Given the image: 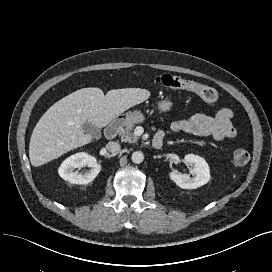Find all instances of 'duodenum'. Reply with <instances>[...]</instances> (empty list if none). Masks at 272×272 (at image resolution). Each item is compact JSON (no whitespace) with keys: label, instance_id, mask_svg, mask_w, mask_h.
<instances>
[{"label":"duodenum","instance_id":"duodenum-1","mask_svg":"<svg viewBox=\"0 0 272 272\" xmlns=\"http://www.w3.org/2000/svg\"><path fill=\"white\" fill-rule=\"evenodd\" d=\"M122 121L113 120L108 124L105 129V137L107 140H114L121 128ZM152 146L154 149H161L163 146V138L160 136H155L152 141Z\"/></svg>","mask_w":272,"mask_h":272}]
</instances>
